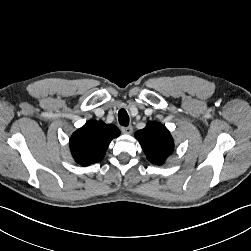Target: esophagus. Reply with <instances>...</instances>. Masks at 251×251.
Masks as SVG:
<instances>
[{"mask_svg":"<svg viewBox=\"0 0 251 251\" xmlns=\"http://www.w3.org/2000/svg\"><path fill=\"white\" fill-rule=\"evenodd\" d=\"M121 131H122L124 134H131V133L133 132V128H132V126L122 127V128H121Z\"/></svg>","mask_w":251,"mask_h":251,"instance_id":"esophagus-1","label":"esophagus"}]
</instances>
